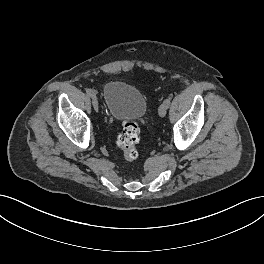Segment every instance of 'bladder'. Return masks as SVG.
<instances>
[{"instance_id":"obj_1","label":"bladder","mask_w":264,"mask_h":264,"mask_svg":"<svg viewBox=\"0 0 264 264\" xmlns=\"http://www.w3.org/2000/svg\"><path fill=\"white\" fill-rule=\"evenodd\" d=\"M103 98L107 111L117 120L142 118L147 111L143 93L132 84L113 80L104 85Z\"/></svg>"}]
</instances>
